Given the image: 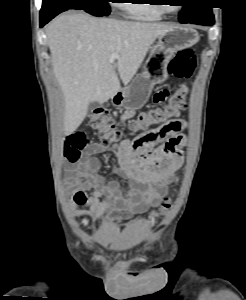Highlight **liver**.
<instances>
[{
  "label": "liver",
  "instance_id": "6515ba94",
  "mask_svg": "<svg viewBox=\"0 0 246 300\" xmlns=\"http://www.w3.org/2000/svg\"><path fill=\"white\" fill-rule=\"evenodd\" d=\"M173 26L66 13L46 28L54 75L64 95V134L83 122L91 102H107L142 64L150 46ZM119 58L110 62V56Z\"/></svg>",
  "mask_w": 246,
  "mask_h": 300
}]
</instances>
